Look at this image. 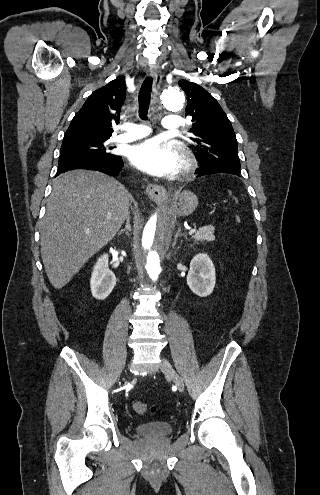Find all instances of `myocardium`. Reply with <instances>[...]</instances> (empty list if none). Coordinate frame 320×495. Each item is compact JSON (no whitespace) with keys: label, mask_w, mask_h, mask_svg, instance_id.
Instances as JSON below:
<instances>
[{"label":"myocardium","mask_w":320,"mask_h":495,"mask_svg":"<svg viewBox=\"0 0 320 495\" xmlns=\"http://www.w3.org/2000/svg\"><path fill=\"white\" fill-rule=\"evenodd\" d=\"M177 153L179 155V173L180 174H187L189 173L193 168H194V160L190 153L182 146L177 147Z\"/></svg>","instance_id":"obj_1"}]
</instances>
